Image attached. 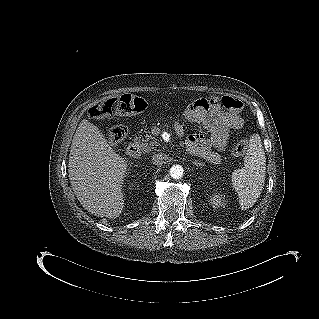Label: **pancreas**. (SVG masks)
<instances>
[{"mask_svg": "<svg viewBox=\"0 0 319 319\" xmlns=\"http://www.w3.org/2000/svg\"><path fill=\"white\" fill-rule=\"evenodd\" d=\"M136 141L140 144L141 150L144 153H149L158 146V143L154 140V138L148 134L142 140L137 139Z\"/></svg>", "mask_w": 319, "mask_h": 319, "instance_id": "obj_1", "label": "pancreas"}]
</instances>
